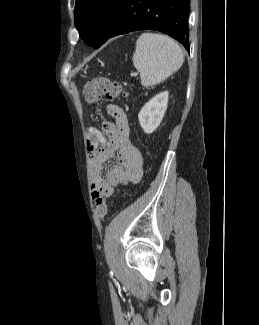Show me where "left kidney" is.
I'll return each mask as SVG.
<instances>
[{
	"mask_svg": "<svg viewBox=\"0 0 259 325\" xmlns=\"http://www.w3.org/2000/svg\"><path fill=\"white\" fill-rule=\"evenodd\" d=\"M168 92H162L149 100L138 114L139 123L145 133L154 132L160 125L167 109Z\"/></svg>",
	"mask_w": 259,
	"mask_h": 325,
	"instance_id": "5707ae66",
	"label": "left kidney"
}]
</instances>
